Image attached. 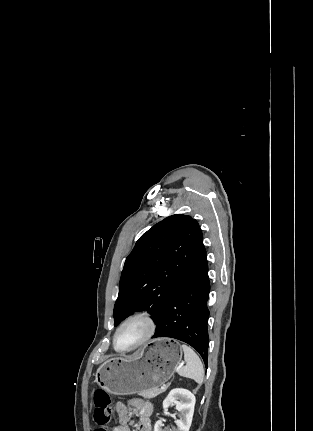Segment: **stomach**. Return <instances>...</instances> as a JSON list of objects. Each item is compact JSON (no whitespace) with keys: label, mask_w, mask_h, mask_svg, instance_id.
Returning <instances> with one entry per match:
<instances>
[{"label":"stomach","mask_w":313,"mask_h":431,"mask_svg":"<svg viewBox=\"0 0 313 431\" xmlns=\"http://www.w3.org/2000/svg\"><path fill=\"white\" fill-rule=\"evenodd\" d=\"M182 358L178 342L160 338L141 351L111 358L97 370L95 382L109 393L130 395L163 386L174 374Z\"/></svg>","instance_id":"obj_1"}]
</instances>
